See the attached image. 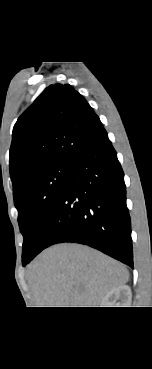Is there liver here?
<instances>
[{"label": "liver", "mask_w": 152, "mask_h": 369, "mask_svg": "<svg viewBox=\"0 0 152 369\" xmlns=\"http://www.w3.org/2000/svg\"><path fill=\"white\" fill-rule=\"evenodd\" d=\"M128 279L123 264L79 244L52 246L28 267L37 307H98L109 291Z\"/></svg>", "instance_id": "obj_1"}]
</instances>
